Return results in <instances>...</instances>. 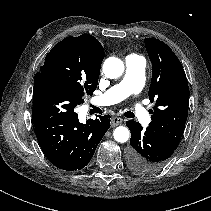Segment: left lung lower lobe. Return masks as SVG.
Returning <instances> with one entry per match:
<instances>
[{
	"instance_id": "1",
	"label": "left lung lower lobe",
	"mask_w": 211,
	"mask_h": 211,
	"mask_svg": "<svg viewBox=\"0 0 211 211\" xmlns=\"http://www.w3.org/2000/svg\"><path fill=\"white\" fill-rule=\"evenodd\" d=\"M126 125L131 131V147L127 152L130 169L137 174H152L162 169L177 147L134 120Z\"/></svg>"
}]
</instances>
